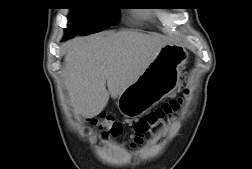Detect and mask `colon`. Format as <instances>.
Returning <instances> with one entry per match:
<instances>
[{"label": "colon", "mask_w": 252, "mask_h": 169, "mask_svg": "<svg viewBox=\"0 0 252 169\" xmlns=\"http://www.w3.org/2000/svg\"><path fill=\"white\" fill-rule=\"evenodd\" d=\"M180 105L181 99L170 100L140 119L134 126L132 133L133 142L140 143L144 135L148 133L153 126L176 114ZM91 123L101 129L103 134L107 137L117 138L122 133V126L106 114H99L92 118Z\"/></svg>", "instance_id": "colon-1"}]
</instances>
